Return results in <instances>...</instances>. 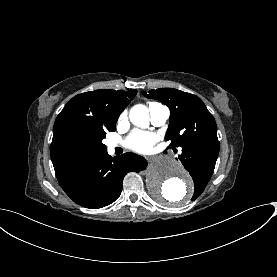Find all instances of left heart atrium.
Returning a JSON list of instances; mask_svg holds the SVG:
<instances>
[{
	"label": "left heart atrium",
	"mask_w": 277,
	"mask_h": 277,
	"mask_svg": "<svg viewBox=\"0 0 277 277\" xmlns=\"http://www.w3.org/2000/svg\"><path fill=\"white\" fill-rule=\"evenodd\" d=\"M155 136L151 132L135 130L126 141V146L138 153H150L153 150Z\"/></svg>",
	"instance_id": "1"
}]
</instances>
